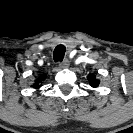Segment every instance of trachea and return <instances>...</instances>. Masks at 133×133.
<instances>
[{"label":"trachea","instance_id":"1","mask_svg":"<svg viewBox=\"0 0 133 133\" xmlns=\"http://www.w3.org/2000/svg\"><path fill=\"white\" fill-rule=\"evenodd\" d=\"M66 48L64 45H58L53 52V59L55 62H62L65 55Z\"/></svg>","mask_w":133,"mask_h":133}]
</instances>
